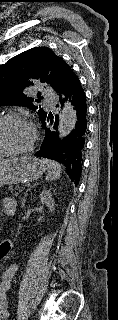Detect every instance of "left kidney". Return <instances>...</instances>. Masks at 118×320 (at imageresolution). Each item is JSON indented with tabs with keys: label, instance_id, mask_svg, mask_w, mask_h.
Segmentation results:
<instances>
[{
	"label": "left kidney",
	"instance_id": "1",
	"mask_svg": "<svg viewBox=\"0 0 118 320\" xmlns=\"http://www.w3.org/2000/svg\"><path fill=\"white\" fill-rule=\"evenodd\" d=\"M40 201L42 204H45L49 209L50 211H54L55 210V202H54V199L52 198V193L50 190H43L41 193H40Z\"/></svg>",
	"mask_w": 118,
	"mask_h": 320
}]
</instances>
